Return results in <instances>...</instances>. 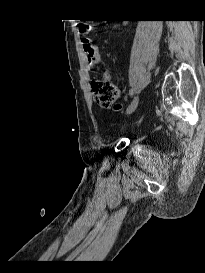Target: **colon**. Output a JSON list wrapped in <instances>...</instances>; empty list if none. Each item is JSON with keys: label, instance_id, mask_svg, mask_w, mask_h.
<instances>
[{"label": "colon", "instance_id": "obj_1", "mask_svg": "<svg viewBox=\"0 0 205 273\" xmlns=\"http://www.w3.org/2000/svg\"><path fill=\"white\" fill-rule=\"evenodd\" d=\"M76 28L79 34L86 35L90 32L89 23L77 21ZM91 90L95 101L102 107H112L114 110H120L121 105L116 103L119 97V90L107 79L94 78L90 82Z\"/></svg>", "mask_w": 205, "mask_h": 273}]
</instances>
